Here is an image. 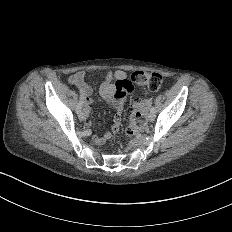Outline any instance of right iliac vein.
<instances>
[{
  "instance_id": "1",
  "label": "right iliac vein",
  "mask_w": 232,
  "mask_h": 232,
  "mask_svg": "<svg viewBox=\"0 0 232 232\" xmlns=\"http://www.w3.org/2000/svg\"><path fill=\"white\" fill-rule=\"evenodd\" d=\"M78 119L79 120H84L85 119V114L84 113H79L78 114Z\"/></svg>"
}]
</instances>
